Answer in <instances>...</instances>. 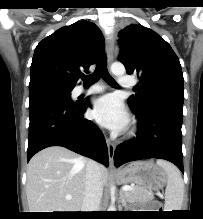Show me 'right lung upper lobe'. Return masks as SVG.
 Masks as SVG:
<instances>
[{
  "mask_svg": "<svg viewBox=\"0 0 203 219\" xmlns=\"http://www.w3.org/2000/svg\"><path fill=\"white\" fill-rule=\"evenodd\" d=\"M103 49L104 37L94 23L82 20L62 27L35 48L30 82L47 79L74 87Z\"/></svg>",
  "mask_w": 203,
  "mask_h": 219,
  "instance_id": "obj_1",
  "label": "right lung upper lobe"
}]
</instances>
